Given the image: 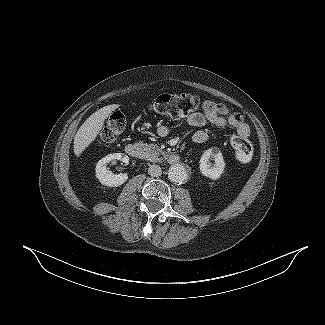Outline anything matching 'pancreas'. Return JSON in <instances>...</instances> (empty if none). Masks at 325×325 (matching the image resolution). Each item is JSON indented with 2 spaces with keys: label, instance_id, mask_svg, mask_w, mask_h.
Listing matches in <instances>:
<instances>
[{
  "label": "pancreas",
  "instance_id": "1",
  "mask_svg": "<svg viewBox=\"0 0 325 325\" xmlns=\"http://www.w3.org/2000/svg\"><path fill=\"white\" fill-rule=\"evenodd\" d=\"M142 147L144 150V158L151 162H161L162 157L160 155L164 158L167 156V153L156 144H142Z\"/></svg>",
  "mask_w": 325,
  "mask_h": 325
}]
</instances>
